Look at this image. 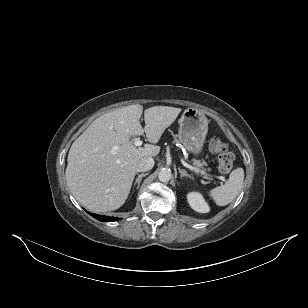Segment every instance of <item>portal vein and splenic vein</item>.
<instances>
[{"label": "portal vein and splenic vein", "instance_id": "1", "mask_svg": "<svg viewBox=\"0 0 308 308\" xmlns=\"http://www.w3.org/2000/svg\"><path fill=\"white\" fill-rule=\"evenodd\" d=\"M134 145H135V146H141V145H142V140L136 139V140L134 141ZM181 162H182V164H183L185 167L189 168L191 171H194V172H197V173H201V174L205 175L206 178H208V177H207V174H205V172L202 171V170H200L199 168L194 167V166H192V165L186 163L184 160H181Z\"/></svg>", "mask_w": 308, "mask_h": 308}]
</instances>
